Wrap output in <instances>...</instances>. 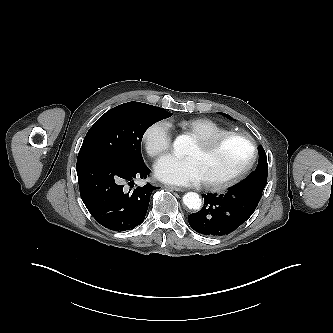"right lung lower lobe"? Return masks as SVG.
<instances>
[{
    "label": "right lung lower lobe",
    "mask_w": 333,
    "mask_h": 333,
    "mask_svg": "<svg viewBox=\"0 0 333 333\" xmlns=\"http://www.w3.org/2000/svg\"><path fill=\"white\" fill-rule=\"evenodd\" d=\"M76 170L81 198L90 214L102 226L116 231L131 230L145 218L151 192L156 187L146 184L127 192L124 183L146 178L150 169L141 163L93 154L79 156Z\"/></svg>",
    "instance_id": "98d812e1"
}]
</instances>
